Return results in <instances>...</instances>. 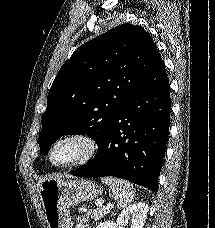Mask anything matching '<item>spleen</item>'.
<instances>
[{"instance_id":"3e777b00","label":"spleen","mask_w":215,"mask_h":228,"mask_svg":"<svg viewBox=\"0 0 215 228\" xmlns=\"http://www.w3.org/2000/svg\"><path fill=\"white\" fill-rule=\"evenodd\" d=\"M103 184L109 186L115 200H117L118 208H126L131 204L135 190L130 182L119 180V178H102Z\"/></svg>"}]
</instances>
